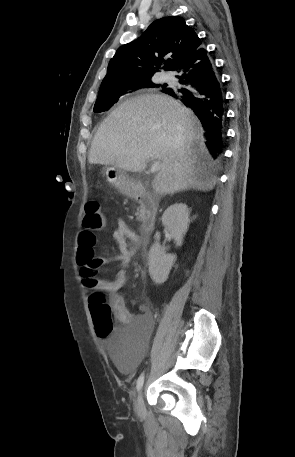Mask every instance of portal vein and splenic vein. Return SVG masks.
<instances>
[{
  "instance_id": "1",
  "label": "portal vein and splenic vein",
  "mask_w": 295,
  "mask_h": 457,
  "mask_svg": "<svg viewBox=\"0 0 295 457\" xmlns=\"http://www.w3.org/2000/svg\"><path fill=\"white\" fill-rule=\"evenodd\" d=\"M161 168V162L160 161H154L152 163V165L150 166V171L152 173H156L157 171H159Z\"/></svg>"
}]
</instances>
